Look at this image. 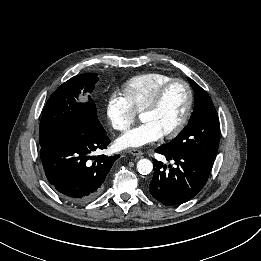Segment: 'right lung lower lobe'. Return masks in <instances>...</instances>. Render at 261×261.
<instances>
[{
  "label": "right lung lower lobe",
  "mask_w": 261,
  "mask_h": 261,
  "mask_svg": "<svg viewBox=\"0 0 261 261\" xmlns=\"http://www.w3.org/2000/svg\"><path fill=\"white\" fill-rule=\"evenodd\" d=\"M109 143L104 130L70 135L41 148L45 175L63 199L86 202L99 193L120 155H100L95 158L92 154L96 150L106 149Z\"/></svg>",
  "instance_id": "right-lung-lower-lobe-1"
}]
</instances>
